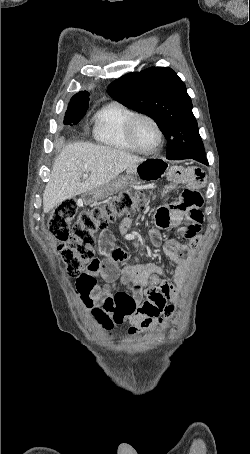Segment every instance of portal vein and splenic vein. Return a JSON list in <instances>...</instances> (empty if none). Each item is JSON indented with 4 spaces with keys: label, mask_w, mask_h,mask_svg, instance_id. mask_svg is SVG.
I'll return each instance as SVG.
<instances>
[{
    "label": "portal vein and splenic vein",
    "mask_w": 250,
    "mask_h": 454,
    "mask_svg": "<svg viewBox=\"0 0 250 454\" xmlns=\"http://www.w3.org/2000/svg\"><path fill=\"white\" fill-rule=\"evenodd\" d=\"M83 178H84V179L88 178V174H84V175H83Z\"/></svg>",
    "instance_id": "obj_1"
}]
</instances>
